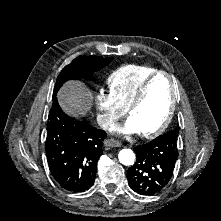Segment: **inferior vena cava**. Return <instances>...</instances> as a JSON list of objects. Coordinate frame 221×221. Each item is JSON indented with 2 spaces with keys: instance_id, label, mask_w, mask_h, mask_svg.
<instances>
[{
  "instance_id": "obj_1",
  "label": "inferior vena cava",
  "mask_w": 221,
  "mask_h": 221,
  "mask_svg": "<svg viewBox=\"0 0 221 221\" xmlns=\"http://www.w3.org/2000/svg\"><path fill=\"white\" fill-rule=\"evenodd\" d=\"M98 125L103 129H108L110 126L113 125V120L109 116L103 114L98 115L97 117Z\"/></svg>"
}]
</instances>
